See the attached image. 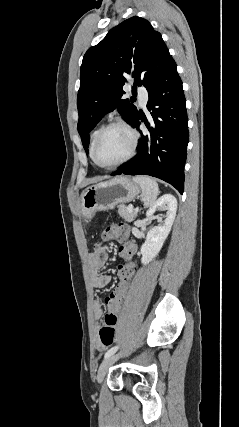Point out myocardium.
<instances>
[{"mask_svg":"<svg viewBox=\"0 0 239 427\" xmlns=\"http://www.w3.org/2000/svg\"><path fill=\"white\" fill-rule=\"evenodd\" d=\"M114 127H121L123 129H125L131 135V139H132L131 148H130V151L128 152V154L123 159L118 161L117 163L112 164V165H105V164H102L97 159L96 150H97V146H98L102 136L104 135V133L107 132L109 129L114 128ZM138 141H139V134L131 124H129L127 121H125L123 119H115V120L107 123L106 125H104L103 127L100 128L99 132L97 133V135L95 137L93 145H92L91 157H92L94 163L98 167H100L102 169H106V170L115 169V168L127 163L129 160H131L135 156L136 151H137V147H138Z\"/></svg>","mask_w":239,"mask_h":427,"instance_id":"f54148a6","label":"myocardium"}]
</instances>
